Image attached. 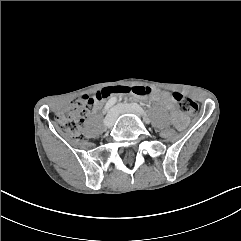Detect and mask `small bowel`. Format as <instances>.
<instances>
[{
	"label": "small bowel",
	"mask_w": 241,
	"mask_h": 241,
	"mask_svg": "<svg viewBox=\"0 0 241 241\" xmlns=\"http://www.w3.org/2000/svg\"><path fill=\"white\" fill-rule=\"evenodd\" d=\"M151 97L153 100L160 102L162 105H164L166 108H168L172 112L173 118L176 121H178L180 123H182L184 121L183 116L177 111L175 102L169 93L153 92Z\"/></svg>",
	"instance_id": "obj_1"
}]
</instances>
